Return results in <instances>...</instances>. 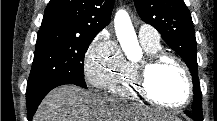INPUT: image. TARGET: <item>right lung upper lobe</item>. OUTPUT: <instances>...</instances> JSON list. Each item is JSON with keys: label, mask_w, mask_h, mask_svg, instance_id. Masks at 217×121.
<instances>
[{"label": "right lung upper lobe", "mask_w": 217, "mask_h": 121, "mask_svg": "<svg viewBox=\"0 0 217 121\" xmlns=\"http://www.w3.org/2000/svg\"><path fill=\"white\" fill-rule=\"evenodd\" d=\"M114 0H50L40 30L97 35L111 18Z\"/></svg>", "instance_id": "1"}]
</instances>
